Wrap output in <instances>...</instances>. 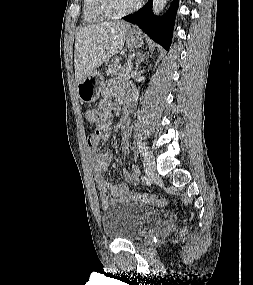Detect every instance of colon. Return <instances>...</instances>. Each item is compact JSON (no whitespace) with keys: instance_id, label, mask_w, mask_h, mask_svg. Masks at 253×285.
Returning <instances> with one entry per match:
<instances>
[{"instance_id":"obj_1","label":"colon","mask_w":253,"mask_h":285,"mask_svg":"<svg viewBox=\"0 0 253 285\" xmlns=\"http://www.w3.org/2000/svg\"><path fill=\"white\" fill-rule=\"evenodd\" d=\"M85 118L89 123L93 124L97 119L96 110L94 109L87 110L85 112ZM130 198L132 201L136 203L145 204V205L162 207L167 204L165 198L147 193H133L130 195Z\"/></svg>"}]
</instances>
